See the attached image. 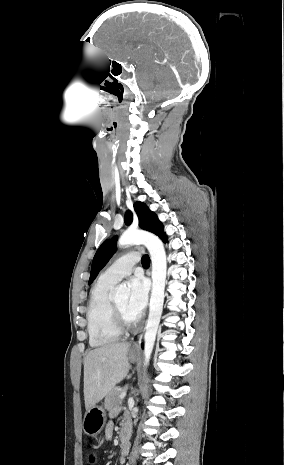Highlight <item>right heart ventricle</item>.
Instances as JSON below:
<instances>
[{
    "mask_svg": "<svg viewBox=\"0 0 284 465\" xmlns=\"http://www.w3.org/2000/svg\"><path fill=\"white\" fill-rule=\"evenodd\" d=\"M113 284L99 279L90 292L86 307V323L90 346H109L119 340L112 329L111 300L108 292Z\"/></svg>",
    "mask_w": 284,
    "mask_h": 465,
    "instance_id": "1",
    "label": "right heart ventricle"
}]
</instances>
